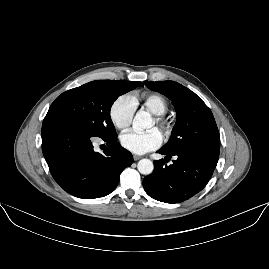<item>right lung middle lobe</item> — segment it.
Instances as JSON below:
<instances>
[{"instance_id":"dd1d6c3e","label":"right lung middle lobe","mask_w":269,"mask_h":269,"mask_svg":"<svg viewBox=\"0 0 269 269\" xmlns=\"http://www.w3.org/2000/svg\"><path fill=\"white\" fill-rule=\"evenodd\" d=\"M137 86H142V83L92 81L62 93L46 116L68 120L90 136L115 138L117 133L110 118L111 106L120 95Z\"/></svg>"}]
</instances>
